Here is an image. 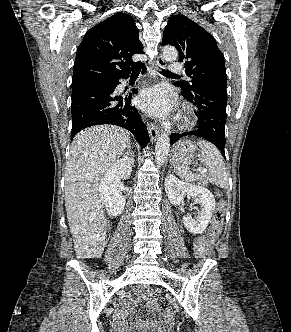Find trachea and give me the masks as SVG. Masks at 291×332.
<instances>
[{"label":"trachea","mask_w":291,"mask_h":332,"mask_svg":"<svg viewBox=\"0 0 291 332\" xmlns=\"http://www.w3.org/2000/svg\"><path fill=\"white\" fill-rule=\"evenodd\" d=\"M139 73H140V70H135V71L132 72L133 75H138ZM161 73L165 74V75H175V74H172L171 72L166 71L164 69H162Z\"/></svg>","instance_id":"3493384b"}]
</instances>
